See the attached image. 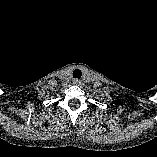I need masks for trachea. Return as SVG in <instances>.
Returning a JSON list of instances; mask_svg holds the SVG:
<instances>
[{
    "mask_svg": "<svg viewBox=\"0 0 157 157\" xmlns=\"http://www.w3.org/2000/svg\"><path fill=\"white\" fill-rule=\"evenodd\" d=\"M81 76H82L81 70L75 69V70L73 71V78H75V79H80Z\"/></svg>",
    "mask_w": 157,
    "mask_h": 157,
    "instance_id": "trachea-1",
    "label": "trachea"
}]
</instances>
